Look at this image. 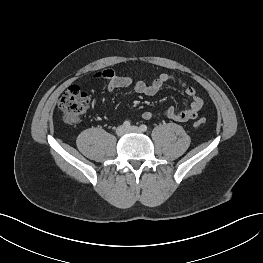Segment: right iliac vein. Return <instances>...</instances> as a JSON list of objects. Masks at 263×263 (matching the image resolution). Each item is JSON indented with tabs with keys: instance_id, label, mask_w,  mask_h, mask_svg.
Segmentation results:
<instances>
[{
	"instance_id": "1",
	"label": "right iliac vein",
	"mask_w": 263,
	"mask_h": 263,
	"mask_svg": "<svg viewBox=\"0 0 263 263\" xmlns=\"http://www.w3.org/2000/svg\"><path fill=\"white\" fill-rule=\"evenodd\" d=\"M116 133L118 136H123L126 133V128L124 126H119L116 129Z\"/></svg>"
}]
</instances>
